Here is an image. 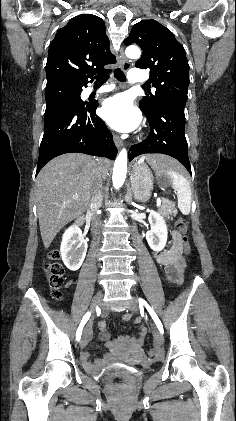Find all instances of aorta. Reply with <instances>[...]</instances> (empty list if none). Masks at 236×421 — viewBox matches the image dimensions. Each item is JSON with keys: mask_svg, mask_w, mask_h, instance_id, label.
<instances>
[{"mask_svg": "<svg viewBox=\"0 0 236 421\" xmlns=\"http://www.w3.org/2000/svg\"><path fill=\"white\" fill-rule=\"evenodd\" d=\"M125 54L128 56V58H139L141 50L138 48V46L131 44V46H127ZM127 160V150L126 148H122L114 162L112 176L114 188H120L126 178Z\"/></svg>", "mask_w": 236, "mask_h": 421, "instance_id": "762f6f07", "label": "aorta"}]
</instances>
